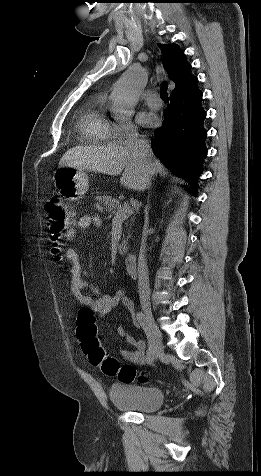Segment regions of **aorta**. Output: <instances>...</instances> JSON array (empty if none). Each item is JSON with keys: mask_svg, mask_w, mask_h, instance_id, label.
<instances>
[{"mask_svg": "<svg viewBox=\"0 0 261 476\" xmlns=\"http://www.w3.org/2000/svg\"><path fill=\"white\" fill-rule=\"evenodd\" d=\"M142 83L139 70H129L115 84L112 93V110L119 119H124L134 112Z\"/></svg>", "mask_w": 261, "mask_h": 476, "instance_id": "obj_1", "label": "aorta"}]
</instances>
